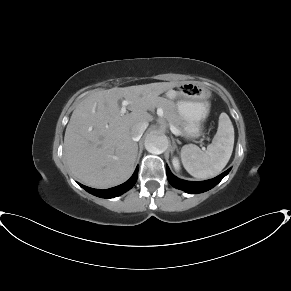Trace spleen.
I'll return each instance as SVG.
<instances>
[{
  "instance_id": "spleen-1",
  "label": "spleen",
  "mask_w": 291,
  "mask_h": 291,
  "mask_svg": "<svg viewBox=\"0 0 291 291\" xmlns=\"http://www.w3.org/2000/svg\"><path fill=\"white\" fill-rule=\"evenodd\" d=\"M234 146V128L229 116L222 112L218 130L206 152L196 145H184L181 160L186 171L195 178L208 179L217 176L227 165Z\"/></svg>"
}]
</instances>
